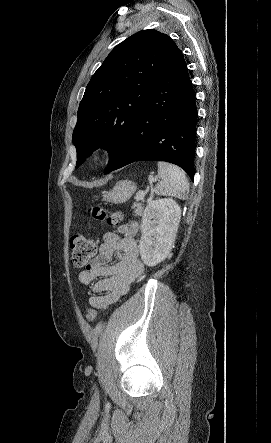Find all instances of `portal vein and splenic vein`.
I'll return each instance as SVG.
<instances>
[{"instance_id":"1","label":"portal vein and splenic vein","mask_w":271,"mask_h":443,"mask_svg":"<svg viewBox=\"0 0 271 443\" xmlns=\"http://www.w3.org/2000/svg\"><path fill=\"white\" fill-rule=\"evenodd\" d=\"M151 182H157V178H151ZM149 188H150V185H147V187H143V188L139 189V191H137V193H136V200H143L144 197L146 196Z\"/></svg>"}]
</instances>
